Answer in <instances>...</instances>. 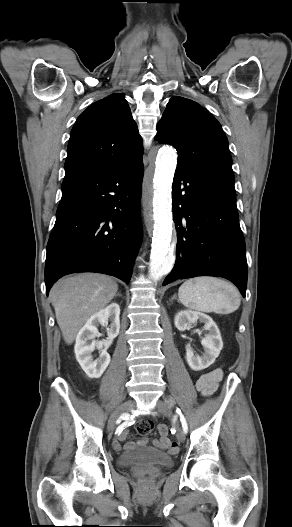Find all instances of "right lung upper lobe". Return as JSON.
Wrapping results in <instances>:
<instances>
[{
    "label": "right lung upper lobe",
    "mask_w": 292,
    "mask_h": 527,
    "mask_svg": "<svg viewBox=\"0 0 292 527\" xmlns=\"http://www.w3.org/2000/svg\"><path fill=\"white\" fill-rule=\"evenodd\" d=\"M143 155L142 140L123 94H111L90 105L70 135L65 174L106 171Z\"/></svg>",
    "instance_id": "obj_1"
}]
</instances>
